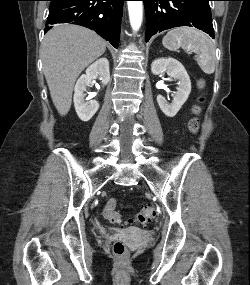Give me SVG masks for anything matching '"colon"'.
I'll list each match as a JSON object with an SVG mask.
<instances>
[{"label":"colon","instance_id":"1","mask_svg":"<svg viewBox=\"0 0 250 285\" xmlns=\"http://www.w3.org/2000/svg\"><path fill=\"white\" fill-rule=\"evenodd\" d=\"M202 82L200 85L202 86ZM199 111V107H195V112L197 113ZM190 130L192 132H196L199 127V122L197 118H193L190 121ZM117 201L114 198L109 199L103 209V215L104 217L113 224L121 225L123 224V220L120 216V214L116 211ZM156 215L155 208L150 205L146 204L144 205L135 215L133 218L128 220V223H137L141 225H145L149 223ZM112 251L114 256L119 260H124L128 255V250L126 245L120 241L117 240L114 242Z\"/></svg>","mask_w":250,"mask_h":285}]
</instances>
